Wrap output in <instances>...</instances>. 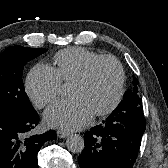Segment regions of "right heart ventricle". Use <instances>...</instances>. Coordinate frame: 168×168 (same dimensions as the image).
<instances>
[{
  "instance_id": "1",
  "label": "right heart ventricle",
  "mask_w": 168,
  "mask_h": 168,
  "mask_svg": "<svg viewBox=\"0 0 168 168\" xmlns=\"http://www.w3.org/2000/svg\"><path fill=\"white\" fill-rule=\"evenodd\" d=\"M99 56V53L82 47L63 49L54 56L55 69L62 81L70 83Z\"/></svg>"
}]
</instances>
